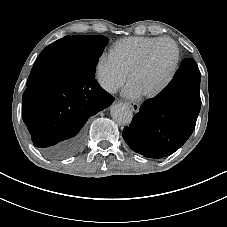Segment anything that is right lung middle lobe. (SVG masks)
I'll list each match as a JSON object with an SVG mask.
<instances>
[{
  "mask_svg": "<svg viewBox=\"0 0 227 227\" xmlns=\"http://www.w3.org/2000/svg\"><path fill=\"white\" fill-rule=\"evenodd\" d=\"M102 35L65 36L47 46L42 52L51 51L50 58L55 62L58 74L77 79H94L98 59L108 43ZM47 68L34 64L27 87L42 82L47 76Z\"/></svg>",
  "mask_w": 227,
  "mask_h": 227,
  "instance_id": "dd1d6c3e",
  "label": "right lung middle lobe"
}]
</instances>
